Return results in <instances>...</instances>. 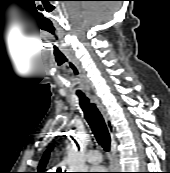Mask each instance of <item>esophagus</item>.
Returning a JSON list of instances; mask_svg holds the SVG:
<instances>
[{
	"label": "esophagus",
	"mask_w": 170,
	"mask_h": 173,
	"mask_svg": "<svg viewBox=\"0 0 170 173\" xmlns=\"http://www.w3.org/2000/svg\"><path fill=\"white\" fill-rule=\"evenodd\" d=\"M92 99L94 101V103L97 105L98 109L100 110L101 114L103 115L106 125L108 127L109 133L111 135V139H112V143H111V159H110V163L111 166H115V162H116V145L114 143V127L112 125L111 119L108 115V113L106 112L104 106L98 101V99L94 96H92Z\"/></svg>",
	"instance_id": "obj_1"
}]
</instances>
